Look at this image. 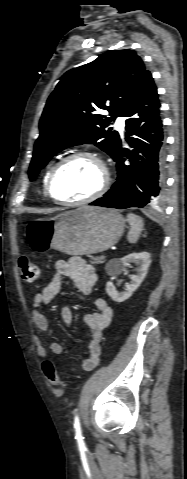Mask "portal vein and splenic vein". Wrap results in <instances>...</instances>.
Masks as SVG:
<instances>
[{
  "mask_svg": "<svg viewBox=\"0 0 187 479\" xmlns=\"http://www.w3.org/2000/svg\"><path fill=\"white\" fill-rule=\"evenodd\" d=\"M101 258H102V259H104V258H105V256H101Z\"/></svg>",
  "mask_w": 187,
  "mask_h": 479,
  "instance_id": "portal-vein-and-splenic-vein-1",
  "label": "portal vein and splenic vein"
}]
</instances>
